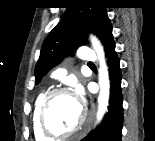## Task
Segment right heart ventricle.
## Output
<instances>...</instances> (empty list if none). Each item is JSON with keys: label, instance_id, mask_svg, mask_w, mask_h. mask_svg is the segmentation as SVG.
I'll return each mask as SVG.
<instances>
[{"label": "right heart ventricle", "instance_id": "e07e8e85", "mask_svg": "<svg viewBox=\"0 0 155 141\" xmlns=\"http://www.w3.org/2000/svg\"><path fill=\"white\" fill-rule=\"evenodd\" d=\"M43 96H44V93H40L38 95L35 105H34V110H33V115H32V127H33L35 139L37 141H46L49 139L40 131L39 125H38V109H39Z\"/></svg>", "mask_w": 155, "mask_h": 141}]
</instances>
